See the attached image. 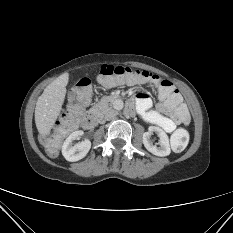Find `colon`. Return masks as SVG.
Instances as JSON below:
<instances>
[{"instance_id": "1", "label": "colon", "mask_w": 233, "mask_h": 233, "mask_svg": "<svg viewBox=\"0 0 233 233\" xmlns=\"http://www.w3.org/2000/svg\"><path fill=\"white\" fill-rule=\"evenodd\" d=\"M98 80L105 87L122 84L135 85L149 83L156 90L158 97L166 100L173 108L172 116L178 122L187 120V107L174 85L167 79L153 75L145 70L131 69L124 66L104 64L100 68ZM92 93V84L88 78H81L69 95V106L63 119L46 136L42 138L47 151L55 154L65 137L74 132L81 121L84 106L88 103ZM189 142V134L184 129L177 130L171 138L174 151H182Z\"/></svg>"}]
</instances>
